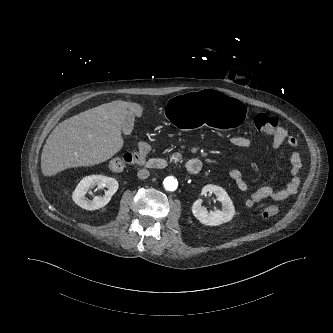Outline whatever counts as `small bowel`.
<instances>
[{
  "instance_id": "1",
  "label": "small bowel",
  "mask_w": 333,
  "mask_h": 333,
  "mask_svg": "<svg viewBox=\"0 0 333 333\" xmlns=\"http://www.w3.org/2000/svg\"><path fill=\"white\" fill-rule=\"evenodd\" d=\"M272 140L270 146L272 149H278L283 144H287L292 148H297L298 140L297 138L290 134L287 129L281 125H276L275 130L272 133ZM231 144L239 149H249L253 146V141L248 137L235 135L230 138ZM133 149L135 152L141 155H147L151 151V146L149 143L143 140H137L133 144ZM290 174L291 179L288 184L279 190L273 189L271 186L265 185L254 190L249 196L245 199V205L249 208L255 206L262 200H272L275 202H282L289 199L292 195L295 194L297 188L300 184V179L298 174L302 169V160L299 153L294 152L290 156ZM229 178L235 183L236 187L241 192H247L249 190L248 184L244 179L243 173L239 169H231L228 173Z\"/></svg>"
}]
</instances>
